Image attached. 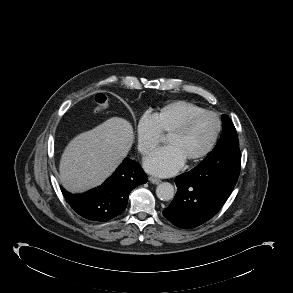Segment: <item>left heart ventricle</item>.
I'll use <instances>...</instances> for the list:
<instances>
[{
    "label": "left heart ventricle",
    "instance_id": "1",
    "mask_svg": "<svg viewBox=\"0 0 293 293\" xmlns=\"http://www.w3.org/2000/svg\"><path fill=\"white\" fill-rule=\"evenodd\" d=\"M215 130V119L205 115L197 119L185 134L168 136L166 143L168 146L175 147L187 161L208 146Z\"/></svg>",
    "mask_w": 293,
    "mask_h": 293
}]
</instances>
